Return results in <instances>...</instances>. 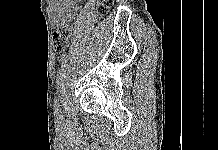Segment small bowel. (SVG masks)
<instances>
[{
  "instance_id": "1",
  "label": "small bowel",
  "mask_w": 218,
  "mask_h": 150,
  "mask_svg": "<svg viewBox=\"0 0 218 150\" xmlns=\"http://www.w3.org/2000/svg\"><path fill=\"white\" fill-rule=\"evenodd\" d=\"M56 26L71 21L78 12L76 0H50Z\"/></svg>"
}]
</instances>
